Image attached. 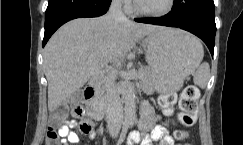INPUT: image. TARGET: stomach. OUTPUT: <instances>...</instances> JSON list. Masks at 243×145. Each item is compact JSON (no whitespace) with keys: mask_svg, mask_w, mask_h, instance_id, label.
I'll return each instance as SVG.
<instances>
[{"mask_svg":"<svg viewBox=\"0 0 243 145\" xmlns=\"http://www.w3.org/2000/svg\"><path fill=\"white\" fill-rule=\"evenodd\" d=\"M146 60L153 74L152 86L161 93L176 92L196 69L202 45L193 35L165 28L143 40Z\"/></svg>","mask_w":243,"mask_h":145,"instance_id":"0dacf381","label":"stomach"}]
</instances>
